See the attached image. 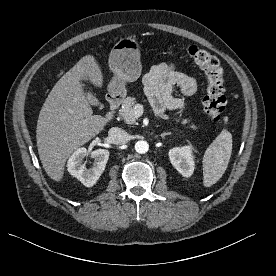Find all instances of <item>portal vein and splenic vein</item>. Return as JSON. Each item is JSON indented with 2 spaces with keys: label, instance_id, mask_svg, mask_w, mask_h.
<instances>
[{
  "label": "portal vein and splenic vein",
  "instance_id": "portal-vein-and-splenic-vein-1",
  "mask_svg": "<svg viewBox=\"0 0 276 276\" xmlns=\"http://www.w3.org/2000/svg\"><path fill=\"white\" fill-rule=\"evenodd\" d=\"M140 108L139 105H136L135 108H134V113L136 116H140L141 115V112L138 110Z\"/></svg>",
  "mask_w": 276,
  "mask_h": 276
}]
</instances>
